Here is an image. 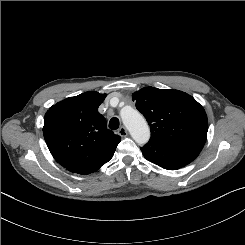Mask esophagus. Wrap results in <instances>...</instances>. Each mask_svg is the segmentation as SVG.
<instances>
[{"label":"esophagus","mask_w":245,"mask_h":245,"mask_svg":"<svg viewBox=\"0 0 245 245\" xmlns=\"http://www.w3.org/2000/svg\"><path fill=\"white\" fill-rule=\"evenodd\" d=\"M118 134L121 136V137H126L128 135V131L126 129V127L124 126H121L118 130Z\"/></svg>","instance_id":"34e87169"}]
</instances>
